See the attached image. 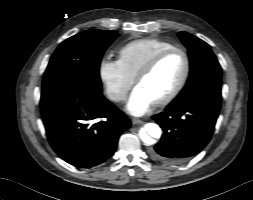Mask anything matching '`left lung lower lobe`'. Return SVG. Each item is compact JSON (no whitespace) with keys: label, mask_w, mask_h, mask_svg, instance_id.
<instances>
[{"label":"left lung lower lobe","mask_w":253,"mask_h":200,"mask_svg":"<svg viewBox=\"0 0 253 200\" xmlns=\"http://www.w3.org/2000/svg\"><path fill=\"white\" fill-rule=\"evenodd\" d=\"M221 107V95L204 93L185 103L172 102L152 117L162 128L161 140L150 150L153 159L180 164L209 142Z\"/></svg>","instance_id":"0a47b994"}]
</instances>
